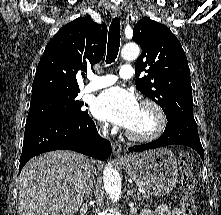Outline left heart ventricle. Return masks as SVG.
Segmentation results:
<instances>
[{"label":"left heart ventricle","instance_id":"b2bd125f","mask_svg":"<svg viewBox=\"0 0 221 215\" xmlns=\"http://www.w3.org/2000/svg\"><path fill=\"white\" fill-rule=\"evenodd\" d=\"M155 125L156 120L153 112L140 106L134 122L128 129L137 134H147L155 128Z\"/></svg>","mask_w":221,"mask_h":215}]
</instances>
